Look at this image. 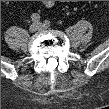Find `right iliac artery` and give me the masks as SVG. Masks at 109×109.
I'll list each match as a JSON object with an SVG mask.
<instances>
[{"mask_svg":"<svg viewBox=\"0 0 109 109\" xmlns=\"http://www.w3.org/2000/svg\"><path fill=\"white\" fill-rule=\"evenodd\" d=\"M31 20L33 22H38V21H40V16L38 14H32L31 15Z\"/></svg>","mask_w":109,"mask_h":109,"instance_id":"1","label":"right iliac artery"}]
</instances>
